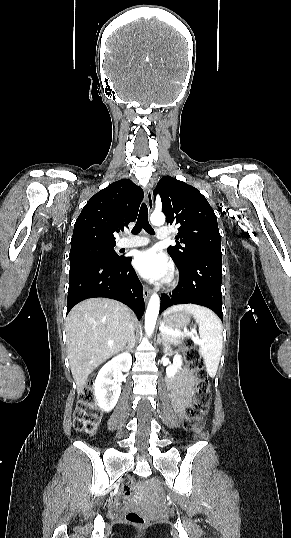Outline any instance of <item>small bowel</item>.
Listing matches in <instances>:
<instances>
[{
    "instance_id": "1",
    "label": "small bowel",
    "mask_w": 291,
    "mask_h": 538,
    "mask_svg": "<svg viewBox=\"0 0 291 538\" xmlns=\"http://www.w3.org/2000/svg\"><path fill=\"white\" fill-rule=\"evenodd\" d=\"M195 382L192 372L184 368L180 369L176 377L171 380V396L178 410L181 408V403L190 398Z\"/></svg>"
}]
</instances>
